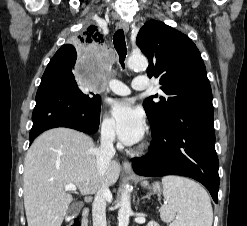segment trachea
I'll return each instance as SVG.
<instances>
[{"label":"trachea","mask_w":247,"mask_h":226,"mask_svg":"<svg viewBox=\"0 0 247 226\" xmlns=\"http://www.w3.org/2000/svg\"><path fill=\"white\" fill-rule=\"evenodd\" d=\"M113 44L119 55L120 63L122 67H125L124 60L127 55V48L125 43L124 31L122 29L117 30L113 36Z\"/></svg>","instance_id":"obj_1"}]
</instances>
